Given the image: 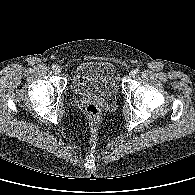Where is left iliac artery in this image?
I'll use <instances>...</instances> for the list:
<instances>
[{"mask_svg": "<svg viewBox=\"0 0 195 195\" xmlns=\"http://www.w3.org/2000/svg\"><path fill=\"white\" fill-rule=\"evenodd\" d=\"M139 71H140L139 69H135L134 73L137 74V73H139Z\"/></svg>", "mask_w": 195, "mask_h": 195, "instance_id": "left-iliac-artery-1", "label": "left iliac artery"}]
</instances>
